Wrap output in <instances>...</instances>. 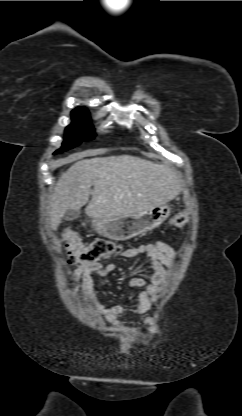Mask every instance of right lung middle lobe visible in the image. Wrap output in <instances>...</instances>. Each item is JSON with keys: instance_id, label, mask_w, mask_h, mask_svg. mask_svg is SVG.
Returning a JSON list of instances; mask_svg holds the SVG:
<instances>
[{"instance_id": "dd1d6c3e", "label": "right lung middle lobe", "mask_w": 242, "mask_h": 416, "mask_svg": "<svg viewBox=\"0 0 242 416\" xmlns=\"http://www.w3.org/2000/svg\"><path fill=\"white\" fill-rule=\"evenodd\" d=\"M72 123L65 129V140L61 149L54 154L61 153L81 143L94 138V128L90 123V116L85 108H77L71 112Z\"/></svg>"}]
</instances>
